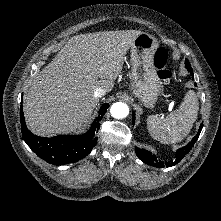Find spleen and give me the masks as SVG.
Wrapping results in <instances>:
<instances>
[{
	"label": "spleen",
	"mask_w": 221,
	"mask_h": 221,
	"mask_svg": "<svg viewBox=\"0 0 221 221\" xmlns=\"http://www.w3.org/2000/svg\"><path fill=\"white\" fill-rule=\"evenodd\" d=\"M199 102L193 90L186 93L179 109L160 119L155 115L147 118V128L152 138L162 144H174L182 141L191 131L197 119Z\"/></svg>",
	"instance_id": "obj_1"
}]
</instances>
